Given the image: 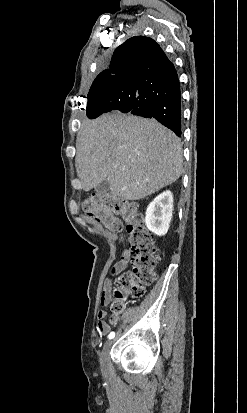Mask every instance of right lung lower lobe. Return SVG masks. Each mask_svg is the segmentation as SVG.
Wrapping results in <instances>:
<instances>
[{"label":"right lung lower lobe","instance_id":"right-lung-lower-lobe-1","mask_svg":"<svg viewBox=\"0 0 247 413\" xmlns=\"http://www.w3.org/2000/svg\"><path fill=\"white\" fill-rule=\"evenodd\" d=\"M131 92L125 96H111L87 117L95 119L103 113L118 110L148 118H155L181 136V93L178 75L170 62L156 72H135L126 77Z\"/></svg>","mask_w":247,"mask_h":413}]
</instances>
